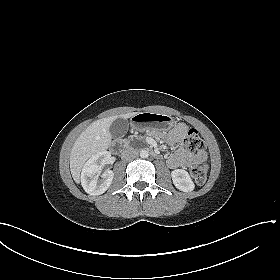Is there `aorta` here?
Masks as SVG:
<instances>
[{"mask_svg":"<svg viewBox=\"0 0 280 280\" xmlns=\"http://www.w3.org/2000/svg\"><path fill=\"white\" fill-rule=\"evenodd\" d=\"M148 156H149V153H148L147 150L142 149V150L140 151V157H141V158H147Z\"/></svg>","mask_w":280,"mask_h":280,"instance_id":"obj_1","label":"aorta"}]
</instances>
